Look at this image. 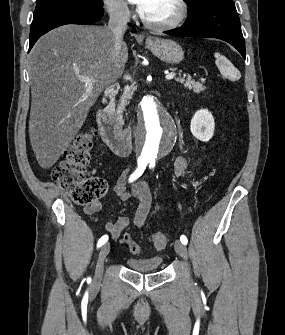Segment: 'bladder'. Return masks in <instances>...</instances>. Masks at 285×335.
I'll use <instances>...</instances> for the list:
<instances>
[{
  "mask_svg": "<svg viewBox=\"0 0 285 335\" xmlns=\"http://www.w3.org/2000/svg\"><path fill=\"white\" fill-rule=\"evenodd\" d=\"M161 255L148 256L144 258L130 257L128 265H131V271L141 273H154L155 265H162Z\"/></svg>",
  "mask_w": 285,
  "mask_h": 335,
  "instance_id": "1",
  "label": "bladder"
}]
</instances>
